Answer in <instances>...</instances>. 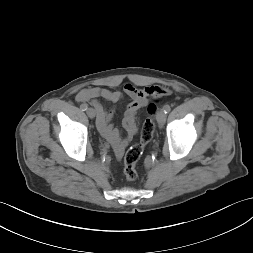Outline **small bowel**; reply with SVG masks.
Wrapping results in <instances>:
<instances>
[{"mask_svg":"<svg viewBox=\"0 0 253 253\" xmlns=\"http://www.w3.org/2000/svg\"><path fill=\"white\" fill-rule=\"evenodd\" d=\"M158 86H150L138 88L132 84H126L125 94L131 99L127 106L123 118V127L126 131V136L121 137L120 132L111 124L113 111H108L99 101L103 99L112 103L119 102L123 94L120 91H113L102 87H89L82 89L76 95V100L82 103H91L97 115V128L102 136L108 140L118 157H121L137 132V113L144 107L150 98L156 97V89Z\"/></svg>","mask_w":253,"mask_h":253,"instance_id":"1","label":"small bowel"}]
</instances>
